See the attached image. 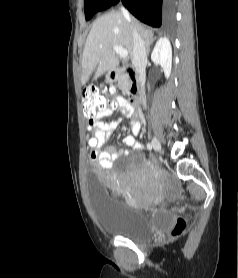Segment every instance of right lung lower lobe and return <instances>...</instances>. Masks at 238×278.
I'll return each instance as SVG.
<instances>
[{
  "label": "right lung lower lobe",
  "instance_id": "1",
  "mask_svg": "<svg viewBox=\"0 0 238 278\" xmlns=\"http://www.w3.org/2000/svg\"><path fill=\"white\" fill-rule=\"evenodd\" d=\"M120 0H106L99 11L116 5ZM126 8L140 21L160 27L172 21L174 0H121Z\"/></svg>",
  "mask_w": 238,
  "mask_h": 278
}]
</instances>
